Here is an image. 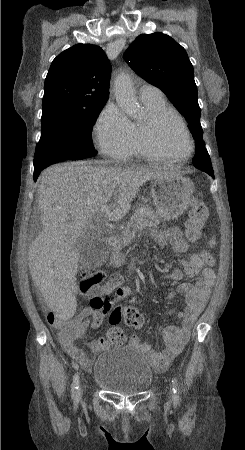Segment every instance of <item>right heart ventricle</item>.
I'll list each match as a JSON object with an SVG mask.
<instances>
[{"mask_svg":"<svg viewBox=\"0 0 245 450\" xmlns=\"http://www.w3.org/2000/svg\"><path fill=\"white\" fill-rule=\"evenodd\" d=\"M141 101L143 102V104L147 109L148 116L143 121H139L133 124L134 139H135L133 154L141 158L161 160L162 158L154 157L148 152L145 146L143 128L150 118L156 117L160 114H171L175 118H177L180 122L183 123L182 118L180 117L178 112L169 105V103L165 100L164 97Z\"/></svg>","mask_w":245,"mask_h":450,"instance_id":"1","label":"right heart ventricle"}]
</instances>
